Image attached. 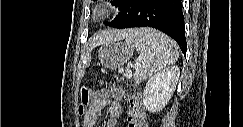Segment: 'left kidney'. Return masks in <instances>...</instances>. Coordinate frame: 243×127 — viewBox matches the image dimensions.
<instances>
[{
  "instance_id": "1",
  "label": "left kidney",
  "mask_w": 243,
  "mask_h": 127,
  "mask_svg": "<svg viewBox=\"0 0 243 127\" xmlns=\"http://www.w3.org/2000/svg\"><path fill=\"white\" fill-rule=\"evenodd\" d=\"M180 76L177 66L166 68L153 75L143 92V104L149 112L161 111L169 102Z\"/></svg>"
}]
</instances>
